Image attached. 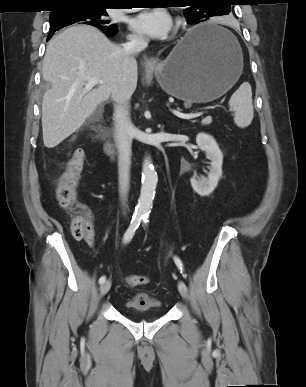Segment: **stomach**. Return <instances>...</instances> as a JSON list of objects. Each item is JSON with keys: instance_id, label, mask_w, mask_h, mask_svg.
<instances>
[{"instance_id": "1", "label": "stomach", "mask_w": 306, "mask_h": 387, "mask_svg": "<svg viewBox=\"0 0 306 387\" xmlns=\"http://www.w3.org/2000/svg\"><path fill=\"white\" fill-rule=\"evenodd\" d=\"M218 31L229 39L204 37L190 42L195 33ZM243 70L242 50L237 40L212 22L190 29L168 57L154 66L156 79L168 94L191 103H206L225 94Z\"/></svg>"}]
</instances>
